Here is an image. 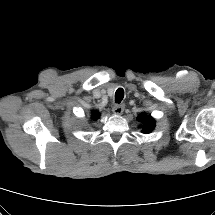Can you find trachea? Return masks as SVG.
I'll return each mask as SVG.
<instances>
[{"label": "trachea", "instance_id": "3493384b", "mask_svg": "<svg viewBox=\"0 0 215 215\" xmlns=\"http://www.w3.org/2000/svg\"><path fill=\"white\" fill-rule=\"evenodd\" d=\"M124 97V90L122 88H118L115 93V102L120 103Z\"/></svg>", "mask_w": 215, "mask_h": 215}]
</instances>
